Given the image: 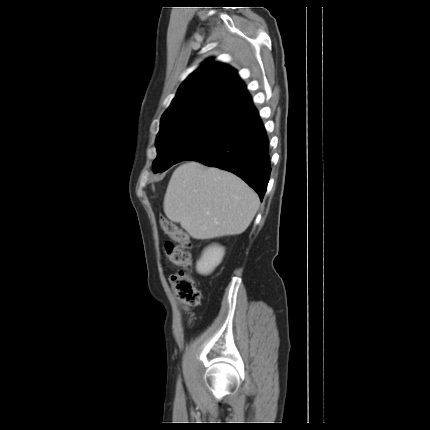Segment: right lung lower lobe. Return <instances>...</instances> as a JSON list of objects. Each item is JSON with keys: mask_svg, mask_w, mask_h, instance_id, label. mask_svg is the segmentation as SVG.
<instances>
[{"mask_svg": "<svg viewBox=\"0 0 430 430\" xmlns=\"http://www.w3.org/2000/svg\"><path fill=\"white\" fill-rule=\"evenodd\" d=\"M247 92L246 89L242 93ZM186 160L230 171L242 178L263 199L271 164L269 141L254 107L213 141Z\"/></svg>", "mask_w": 430, "mask_h": 430, "instance_id": "1", "label": "right lung lower lobe"}]
</instances>
